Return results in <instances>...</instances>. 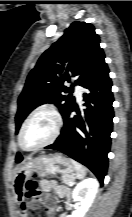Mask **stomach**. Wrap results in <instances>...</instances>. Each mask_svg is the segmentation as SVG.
<instances>
[{
	"instance_id": "0dacf381",
	"label": "stomach",
	"mask_w": 132,
	"mask_h": 217,
	"mask_svg": "<svg viewBox=\"0 0 132 217\" xmlns=\"http://www.w3.org/2000/svg\"><path fill=\"white\" fill-rule=\"evenodd\" d=\"M74 171L75 168L71 160L60 153L41 155L30 159L18 168L13 178V184L22 187L34 175L41 177L56 173L72 175Z\"/></svg>"
}]
</instances>
